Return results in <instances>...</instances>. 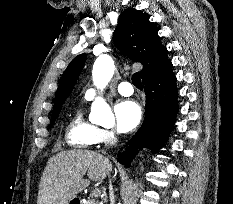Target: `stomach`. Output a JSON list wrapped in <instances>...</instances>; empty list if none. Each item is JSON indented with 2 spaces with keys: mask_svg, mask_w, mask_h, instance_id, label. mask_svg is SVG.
<instances>
[{
  "mask_svg": "<svg viewBox=\"0 0 233 204\" xmlns=\"http://www.w3.org/2000/svg\"><path fill=\"white\" fill-rule=\"evenodd\" d=\"M72 200H73V199H72ZM72 200H71V201H72ZM71 201L69 202V204L71 203ZM78 203H79V204H82V202H81V201H79Z\"/></svg>",
  "mask_w": 233,
  "mask_h": 204,
  "instance_id": "stomach-1",
  "label": "stomach"
}]
</instances>
